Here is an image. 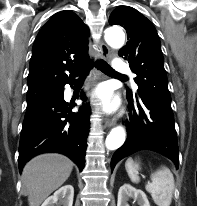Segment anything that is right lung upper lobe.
<instances>
[{
    "label": "right lung upper lobe",
    "instance_id": "obj_1",
    "mask_svg": "<svg viewBox=\"0 0 197 206\" xmlns=\"http://www.w3.org/2000/svg\"><path fill=\"white\" fill-rule=\"evenodd\" d=\"M89 30L72 11L54 14L39 31L32 49L28 90L61 89L88 61Z\"/></svg>",
    "mask_w": 197,
    "mask_h": 206
}]
</instances>
